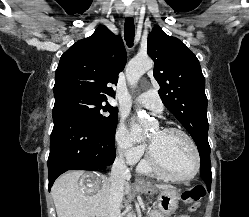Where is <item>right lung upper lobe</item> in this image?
Masks as SVG:
<instances>
[{
  "label": "right lung upper lobe",
  "mask_w": 249,
  "mask_h": 217,
  "mask_svg": "<svg viewBox=\"0 0 249 217\" xmlns=\"http://www.w3.org/2000/svg\"><path fill=\"white\" fill-rule=\"evenodd\" d=\"M126 50L120 36L99 26L88 38L73 44L60 58L55 73L54 96L80 92L97 99L114 97L112 87L126 64Z\"/></svg>",
  "instance_id": "1"
}]
</instances>
